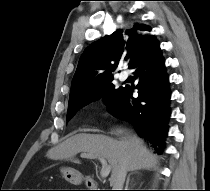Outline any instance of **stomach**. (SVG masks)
<instances>
[{"instance_id": "1", "label": "stomach", "mask_w": 210, "mask_h": 191, "mask_svg": "<svg viewBox=\"0 0 210 191\" xmlns=\"http://www.w3.org/2000/svg\"><path fill=\"white\" fill-rule=\"evenodd\" d=\"M61 172H62V175H63V178L72 183V184H81L82 181L84 180V177L82 176V174L75 170V169H72V168H62L61 169Z\"/></svg>"}]
</instances>
